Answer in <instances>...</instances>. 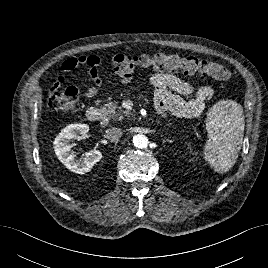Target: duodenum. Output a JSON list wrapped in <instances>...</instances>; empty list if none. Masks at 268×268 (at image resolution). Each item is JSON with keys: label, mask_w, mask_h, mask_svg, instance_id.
Wrapping results in <instances>:
<instances>
[{"label": "duodenum", "mask_w": 268, "mask_h": 268, "mask_svg": "<svg viewBox=\"0 0 268 268\" xmlns=\"http://www.w3.org/2000/svg\"><path fill=\"white\" fill-rule=\"evenodd\" d=\"M87 116L91 120L103 121L106 117V114L103 110L96 107H90L87 111Z\"/></svg>", "instance_id": "obj_1"}]
</instances>
